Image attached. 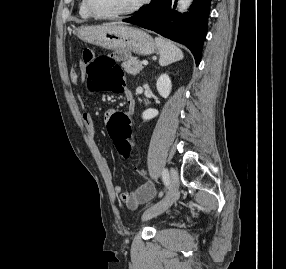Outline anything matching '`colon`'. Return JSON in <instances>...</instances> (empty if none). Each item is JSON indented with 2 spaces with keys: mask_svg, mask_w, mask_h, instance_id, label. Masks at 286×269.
Masks as SVG:
<instances>
[{
  "mask_svg": "<svg viewBox=\"0 0 286 269\" xmlns=\"http://www.w3.org/2000/svg\"><path fill=\"white\" fill-rule=\"evenodd\" d=\"M131 54L133 49H115L114 52H107V56L96 57L92 50L86 49L84 51L85 72L88 75L89 86L99 90L119 92L123 87V71L115 62H129ZM107 126L109 136L113 139V145L119 154L125 159L136 157V152H131L129 126H132V115L130 111H114L107 121Z\"/></svg>",
  "mask_w": 286,
  "mask_h": 269,
  "instance_id": "colon-1",
  "label": "colon"
}]
</instances>
